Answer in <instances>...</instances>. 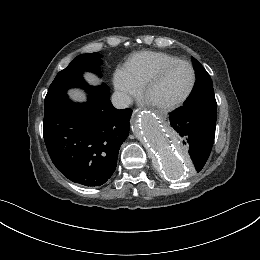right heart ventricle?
<instances>
[{
	"label": "right heart ventricle",
	"instance_id": "e07e8e85",
	"mask_svg": "<svg viewBox=\"0 0 260 260\" xmlns=\"http://www.w3.org/2000/svg\"><path fill=\"white\" fill-rule=\"evenodd\" d=\"M177 60L180 58L168 53L143 51L132 55L124 70L133 81L144 85L158 69Z\"/></svg>",
	"mask_w": 260,
	"mask_h": 260
}]
</instances>
